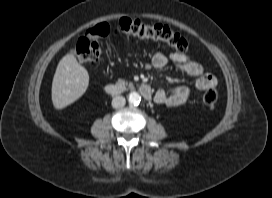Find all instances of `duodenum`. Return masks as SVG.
<instances>
[{
	"label": "duodenum",
	"mask_w": 272,
	"mask_h": 198,
	"mask_svg": "<svg viewBox=\"0 0 272 198\" xmlns=\"http://www.w3.org/2000/svg\"><path fill=\"white\" fill-rule=\"evenodd\" d=\"M137 89L146 100L152 99L153 94L149 85L140 84ZM105 92L112 96L120 95L127 92V87L122 84L109 83L105 86Z\"/></svg>",
	"instance_id": "410a0bca"
}]
</instances>
